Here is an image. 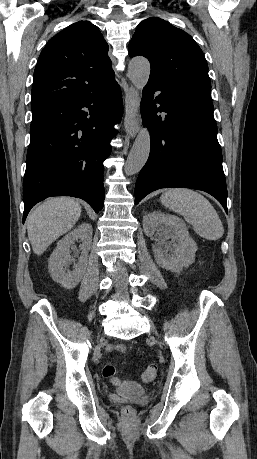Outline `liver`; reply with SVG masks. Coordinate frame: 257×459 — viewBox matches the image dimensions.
I'll use <instances>...</instances> for the list:
<instances>
[{"label": "liver", "instance_id": "1", "mask_svg": "<svg viewBox=\"0 0 257 459\" xmlns=\"http://www.w3.org/2000/svg\"><path fill=\"white\" fill-rule=\"evenodd\" d=\"M81 206L67 197L51 198L37 206L28 216V237L36 255H41L78 221Z\"/></svg>", "mask_w": 257, "mask_h": 459}]
</instances>
